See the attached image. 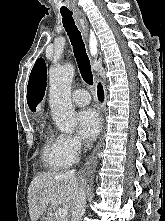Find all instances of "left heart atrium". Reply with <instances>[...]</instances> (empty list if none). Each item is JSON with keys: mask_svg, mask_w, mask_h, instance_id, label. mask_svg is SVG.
Segmentation results:
<instances>
[{"mask_svg": "<svg viewBox=\"0 0 165 221\" xmlns=\"http://www.w3.org/2000/svg\"><path fill=\"white\" fill-rule=\"evenodd\" d=\"M81 135L87 140H93L100 130V118L93 109H84L77 115Z\"/></svg>", "mask_w": 165, "mask_h": 221, "instance_id": "obj_1", "label": "left heart atrium"}]
</instances>
